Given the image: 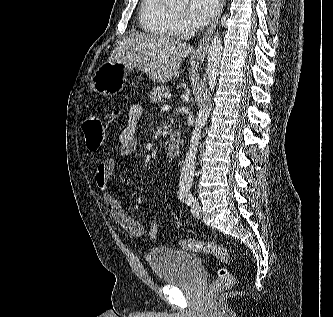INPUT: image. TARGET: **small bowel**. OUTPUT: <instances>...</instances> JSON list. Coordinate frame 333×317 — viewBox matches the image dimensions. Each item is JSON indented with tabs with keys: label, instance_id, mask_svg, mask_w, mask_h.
I'll return each mask as SVG.
<instances>
[{
	"label": "small bowel",
	"instance_id": "c3829d8e",
	"mask_svg": "<svg viewBox=\"0 0 333 317\" xmlns=\"http://www.w3.org/2000/svg\"><path fill=\"white\" fill-rule=\"evenodd\" d=\"M143 114L140 104L132 105L128 110V119L125 128L118 137V153L122 158L134 154L138 147L136 128ZM115 159L108 157L103 159L96 167L95 182L102 192L104 203L112 218L130 235L141 236L144 233V224L129 215L120 202L110 191V179L115 169Z\"/></svg>",
	"mask_w": 333,
	"mask_h": 317
}]
</instances>
